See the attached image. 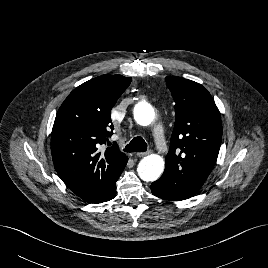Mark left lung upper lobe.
Here are the masks:
<instances>
[{
	"instance_id": "1",
	"label": "left lung upper lobe",
	"mask_w": 268,
	"mask_h": 268,
	"mask_svg": "<svg viewBox=\"0 0 268 268\" xmlns=\"http://www.w3.org/2000/svg\"><path fill=\"white\" fill-rule=\"evenodd\" d=\"M165 80L175 102V126L164 173L156 182L192 197L216 163L221 116L201 84L176 76Z\"/></svg>"
}]
</instances>
